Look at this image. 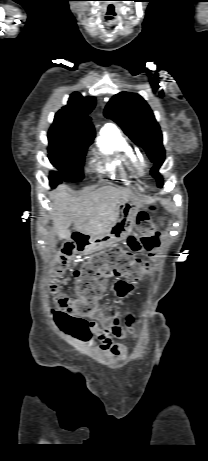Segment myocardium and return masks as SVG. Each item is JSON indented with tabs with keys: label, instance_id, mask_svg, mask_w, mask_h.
Instances as JSON below:
<instances>
[{
	"label": "myocardium",
	"instance_id": "1",
	"mask_svg": "<svg viewBox=\"0 0 208 461\" xmlns=\"http://www.w3.org/2000/svg\"><path fill=\"white\" fill-rule=\"evenodd\" d=\"M135 165H136L137 169L139 170V172H144L146 170V168H147V163H146L145 159H143V158L136 159Z\"/></svg>",
	"mask_w": 208,
	"mask_h": 461
}]
</instances>
